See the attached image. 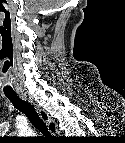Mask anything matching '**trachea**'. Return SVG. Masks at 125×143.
<instances>
[{"label":"trachea","instance_id":"1","mask_svg":"<svg viewBox=\"0 0 125 143\" xmlns=\"http://www.w3.org/2000/svg\"><path fill=\"white\" fill-rule=\"evenodd\" d=\"M6 97L11 101L16 109L27 116L29 121L34 125L36 129H38L43 135L52 138L51 133L49 132L44 121L40 118L33 105L22 101L16 94H6Z\"/></svg>","mask_w":125,"mask_h":143}]
</instances>
